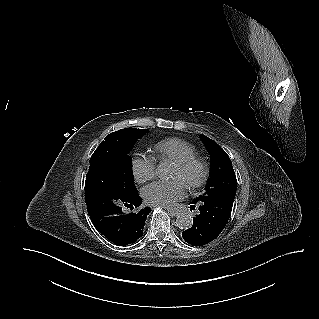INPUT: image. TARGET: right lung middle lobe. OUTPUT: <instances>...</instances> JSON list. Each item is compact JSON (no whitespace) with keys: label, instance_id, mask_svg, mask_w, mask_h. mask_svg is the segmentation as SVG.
Listing matches in <instances>:
<instances>
[{"label":"right lung middle lobe","instance_id":"obj_1","mask_svg":"<svg viewBox=\"0 0 319 319\" xmlns=\"http://www.w3.org/2000/svg\"><path fill=\"white\" fill-rule=\"evenodd\" d=\"M147 132V129L125 128L105 137L92 154L86 184L96 179V173L112 169L119 174L123 187L135 189L132 173V158L128 155L131 148Z\"/></svg>","mask_w":319,"mask_h":319}]
</instances>
